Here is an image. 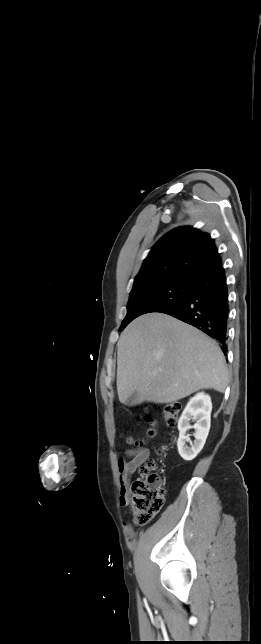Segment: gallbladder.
Segmentation results:
<instances>
[{
	"label": "gallbladder",
	"mask_w": 261,
	"mask_h": 644,
	"mask_svg": "<svg viewBox=\"0 0 261 644\" xmlns=\"http://www.w3.org/2000/svg\"><path fill=\"white\" fill-rule=\"evenodd\" d=\"M136 398H137V392H134V393H133V394L128 398V400H127V403H126V404H127L128 406H130V405H134V404H135V403H134V401L136 400Z\"/></svg>",
	"instance_id": "obj_1"
}]
</instances>
